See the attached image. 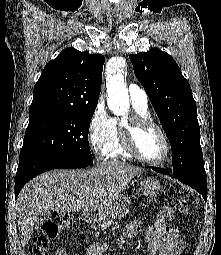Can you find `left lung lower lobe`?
<instances>
[{
    "instance_id": "obj_1",
    "label": "left lung lower lobe",
    "mask_w": 221,
    "mask_h": 255,
    "mask_svg": "<svg viewBox=\"0 0 221 255\" xmlns=\"http://www.w3.org/2000/svg\"><path fill=\"white\" fill-rule=\"evenodd\" d=\"M153 170L162 173V174H169V171L163 168L152 167ZM184 184H187L197 190L200 194H202L204 200H207V180L206 174L201 176H194V177H182L177 178Z\"/></svg>"
}]
</instances>
